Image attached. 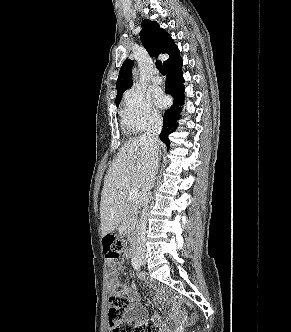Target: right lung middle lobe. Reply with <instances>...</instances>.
I'll return each mask as SVG.
<instances>
[{
    "mask_svg": "<svg viewBox=\"0 0 291 332\" xmlns=\"http://www.w3.org/2000/svg\"><path fill=\"white\" fill-rule=\"evenodd\" d=\"M119 103H120V101L116 102V106H117V107L119 106Z\"/></svg>",
    "mask_w": 291,
    "mask_h": 332,
    "instance_id": "dd1d6c3e",
    "label": "right lung middle lobe"
}]
</instances>
